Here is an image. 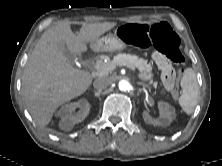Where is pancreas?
Masks as SVG:
<instances>
[{"label": "pancreas", "mask_w": 222, "mask_h": 166, "mask_svg": "<svg viewBox=\"0 0 222 166\" xmlns=\"http://www.w3.org/2000/svg\"><path fill=\"white\" fill-rule=\"evenodd\" d=\"M123 62L133 65L140 72H143L144 74L152 75V69H153L152 65L148 63L147 60L138 58L136 55H130V54H125V53L118 54L117 56L114 57L112 61H108L107 63H101V65H103L104 67H116L120 63H123ZM150 83L153 84L155 88L158 87V83L156 81L150 80Z\"/></svg>", "instance_id": "pancreas-1"}]
</instances>
